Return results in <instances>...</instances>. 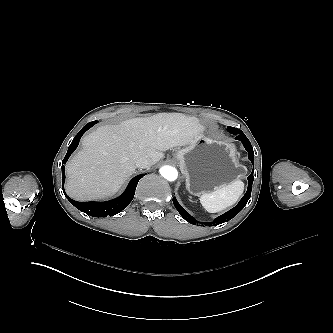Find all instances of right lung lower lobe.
<instances>
[{
    "label": "right lung lower lobe",
    "mask_w": 333,
    "mask_h": 333,
    "mask_svg": "<svg viewBox=\"0 0 333 333\" xmlns=\"http://www.w3.org/2000/svg\"><path fill=\"white\" fill-rule=\"evenodd\" d=\"M98 121H92L87 123L80 131L79 133L74 137L72 143L70 144L68 151L66 153L65 158L62 161V164H65L70 157V155L74 152V150L77 148L79 144V140L81 139L82 135L91 128L94 124H96ZM144 176L138 175L134 177L130 183L128 184L126 190L122 195L119 197L112 199L110 201L106 202H78L75 200H72L69 198L66 193V197L68 198L69 202L74 205L77 209L80 211L93 216V217H107V216H113L119 212H121L123 209H125L128 204L132 201L135 189L137 186L138 181ZM64 181H65V169L64 165H62V189L64 191Z\"/></svg>",
    "instance_id": "98d812e1"
}]
</instances>
